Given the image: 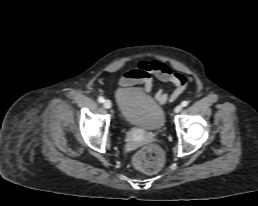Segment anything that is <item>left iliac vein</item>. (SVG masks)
Wrapping results in <instances>:
<instances>
[{
	"mask_svg": "<svg viewBox=\"0 0 258 206\" xmlns=\"http://www.w3.org/2000/svg\"><path fill=\"white\" fill-rule=\"evenodd\" d=\"M181 110H182V106L178 105V106L175 107L174 112L179 113Z\"/></svg>",
	"mask_w": 258,
	"mask_h": 206,
	"instance_id": "1",
	"label": "left iliac vein"
}]
</instances>
